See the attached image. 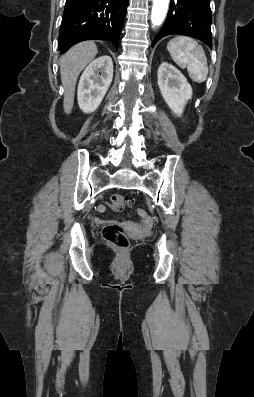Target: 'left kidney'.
Here are the masks:
<instances>
[{"label": "left kidney", "instance_id": "1", "mask_svg": "<svg viewBox=\"0 0 254 397\" xmlns=\"http://www.w3.org/2000/svg\"><path fill=\"white\" fill-rule=\"evenodd\" d=\"M157 76L164 101L174 114L181 116L187 101L192 97L191 85L176 67L167 62L161 63Z\"/></svg>", "mask_w": 254, "mask_h": 397}]
</instances>
